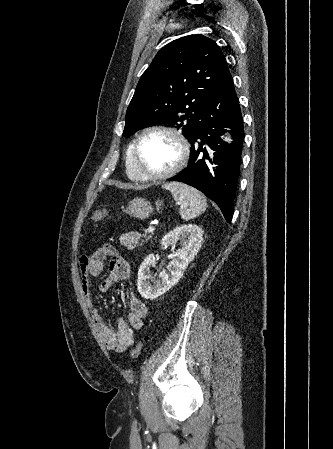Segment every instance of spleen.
Wrapping results in <instances>:
<instances>
[{"instance_id":"1","label":"spleen","mask_w":333,"mask_h":449,"mask_svg":"<svg viewBox=\"0 0 333 449\" xmlns=\"http://www.w3.org/2000/svg\"><path fill=\"white\" fill-rule=\"evenodd\" d=\"M163 188L169 190L174 200L180 205L182 219L190 220L206 210V198L196 188L179 182L167 183Z\"/></svg>"}]
</instances>
